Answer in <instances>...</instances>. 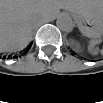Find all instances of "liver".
Wrapping results in <instances>:
<instances>
[{
	"instance_id": "1",
	"label": "liver",
	"mask_w": 103,
	"mask_h": 103,
	"mask_svg": "<svg viewBox=\"0 0 103 103\" xmlns=\"http://www.w3.org/2000/svg\"><path fill=\"white\" fill-rule=\"evenodd\" d=\"M73 0H1V50L23 49L32 39V30L39 21H51L60 9L71 12Z\"/></svg>"
}]
</instances>
